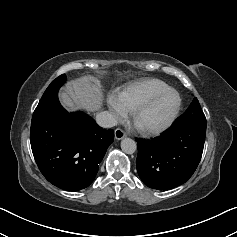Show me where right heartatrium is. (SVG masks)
I'll use <instances>...</instances> for the list:
<instances>
[{
  "mask_svg": "<svg viewBox=\"0 0 237 237\" xmlns=\"http://www.w3.org/2000/svg\"><path fill=\"white\" fill-rule=\"evenodd\" d=\"M109 109L116 121L123 120L126 117L127 111L124 107L118 102V100L113 97L109 100Z\"/></svg>",
  "mask_w": 237,
  "mask_h": 237,
  "instance_id": "right-heart-atrium-1",
  "label": "right heart atrium"
}]
</instances>
